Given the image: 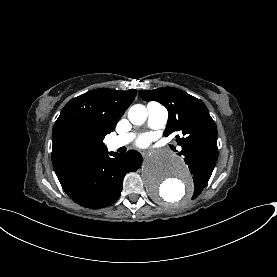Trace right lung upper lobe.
<instances>
[{"label":"right lung upper lobe","instance_id":"cb5924a9","mask_svg":"<svg viewBox=\"0 0 277 277\" xmlns=\"http://www.w3.org/2000/svg\"><path fill=\"white\" fill-rule=\"evenodd\" d=\"M136 94V90L100 88L73 98L64 106L52 131L56 175L107 152L103 139L115 129Z\"/></svg>","mask_w":277,"mask_h":277}]
</instances>
